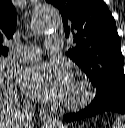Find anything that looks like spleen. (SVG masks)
Returning a JSON list of instances; mask_svg holds the SVG:
<instances>
[{
	"instance_id": "spleen-1",
	"label": "spleen",
	"mask_w": 125,
	"mask_h": 128,
	"mask_svg": "<svg viewBox=\"0 0 125 128\" xmlns=\"http://www.w3.org/2000/svg\"><path fill=\"white\" fill-rule=\"evenodd\" d=\"M113 128H125V116H119L113 124Z\"/></svg>"
}]
</instances>
